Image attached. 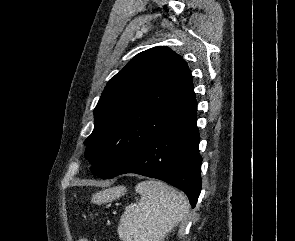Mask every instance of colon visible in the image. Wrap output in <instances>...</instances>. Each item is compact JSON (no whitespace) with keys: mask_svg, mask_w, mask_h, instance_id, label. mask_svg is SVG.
<instances>
[{"mask_svg":"<svg viewBox=\"0 0 295 241\" xmlns=\"http://www.w3.org/2000/svg\"><path fill=\"white\" fill-rule=\"evenodd\" d=\"M78 241H94V240H88V239H86V238H81V239H79Z\"/></svg>","mask_w":295,"mask_h":241,"instance_id":"1","label":"colon"}]
</instances>
